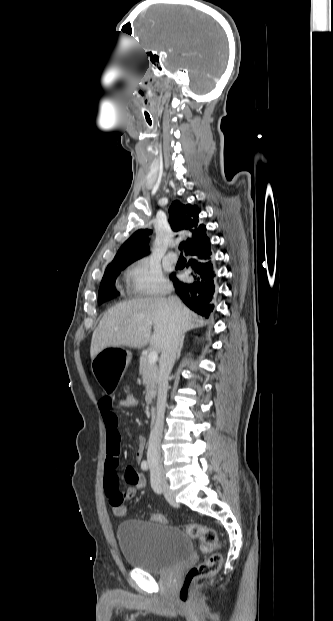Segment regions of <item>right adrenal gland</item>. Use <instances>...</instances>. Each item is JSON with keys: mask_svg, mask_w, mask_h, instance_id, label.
<instances>
[{"mask_svg": "<svg viewBox=\"0 0 333 621\" xmlns=\"http://www.w3.org/2000/svg\"><path fill=\"white\" fill-rule=\"evenodd\" d=\"M184 338H185V336H182V339H181V342H180V347H179V350H178V353H177V359H179L180 356H181V350H182V347H183Z\"/></svg>", "mask_w": 333, "mask_h": 621, "instance_id": "2a0ac1e0", "label": "right adrenal gland"}]
</instances>
